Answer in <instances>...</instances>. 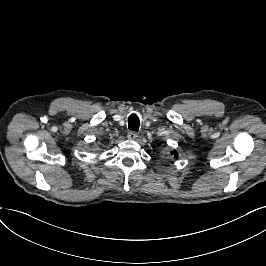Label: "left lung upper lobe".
<instances>
[{
    "label": "left lung upper lobe",
    "mask_w": 266,
    "mask_h": 266,
    "mask_svg": "<svg viewBox=\"0 0 266 266\" xmlns=\"http://www.w3.org/2000/svg\"><path fill=\"white\" fill-rule=\"evenodd\" d=\"M175 156H177V152L175 151Z\"/></svg>",
    "instance_id": "left-lung-upper-lobe-1"
}]
</instances>
